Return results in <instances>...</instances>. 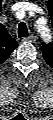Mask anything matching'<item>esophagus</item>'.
I'll use <instances>...</instances> for the list:
<instances>
[{"label":"esophagus","mask_w":53,"mask_h":120,"mask_svg":"<svg viewBox=\"0 0 53 120\" xmlns=\"http://www.w3.org/2000/svg\"><path fill=\"white\" fill-rule=\"evenodd\" d=\"M35 39H36L35 36L30 35V36H28V37H24V38L22 39V42H34Z\"/></svg>","instance_id":"1"}]
</instances>
